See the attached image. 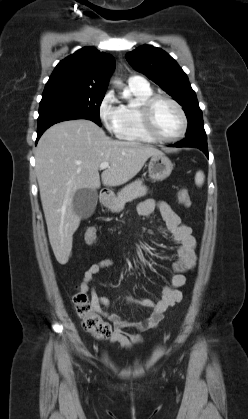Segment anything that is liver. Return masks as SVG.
Instances as JSON below:
<instances>
[{
  "mask_svg": "<svg viewBox=\"0 0 248 419\" xmlns=\"http://www.w3.org/2000/svg\"><path fill=\"white\" fill-rule=\"evenodd\" d=\"M159 154L163 152L147 144L113 140L86 119L55 124L42 135L35 170L49 241L60 264L68 262L80 225L81 217L73 210L74 195L83 188H100V164L109 163L101 174L102 183L119 186Z\"/></svg>",
  "mask_w": 248,
  "mask_h": 419,
  "instance_id": "obj_1",
  "label": "liver"
}]
</instances>
